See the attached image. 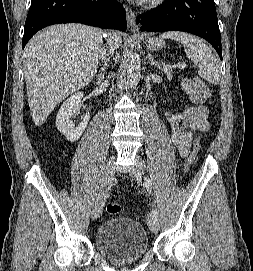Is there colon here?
Returning a JSON list of instances; mask_svg holds the SVG:
<instances>
[{
	"label": "colon",
	"mask_w": 253,
	"mask_h": 271,
	"mask_svg": "<svg viewBox=\"0 0 253 271\" xmlns=\"http://www.w3.org/2000/svg\"><path fill=\"white\" fill-rule=\"evenodd\" d=\"M195 83H196L199 91L204 95V97L207 99H210L211 93H210V90H209L207 84L200 79H196ZM199 145H200V140L197 139L195 141L194 146L192 148V151L186 161L187 168L191 167L195 163V161L197 160L198 155H199ZM106 211L109 215H118L121 212V206L117 203H108L106 206Z\"/></svg>",
	"instance_id": "5ec220e1"
}]
</instances>
